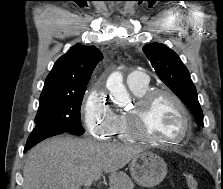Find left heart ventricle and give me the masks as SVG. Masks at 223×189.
<instances>
[{"label":"left heart ventricle","instance_id":"b2bd125f","mask_svg":"<svg viewBox=\"0 0 223 189\" xmlns=\"http://www.w3.org/2000/svg\"><path fill=\"white\" fill-rule=\"evenodd\" d=\"M182 115L173 101L162 96L148 108L143 120V131L155 138L174 139L180 135Z\"/></svg>","mask_w":223,"mask_h":189}]
</instances>
